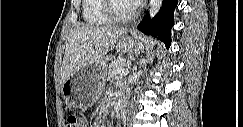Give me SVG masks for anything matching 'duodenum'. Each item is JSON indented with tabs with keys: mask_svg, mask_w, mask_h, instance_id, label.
Wrapping results in <instances>:
<instances>
[{
	"mask_svg": "<svg viewBox=\"0 0 243 127\" xmlns=\"http://www.w3.org/2000/svg\"><path fill=\"white\" fill-rule=\"evenodd\" d=\"M124 105H125V99L123 98L118 100L117 103L115 104L114 111L117 117H120L121 114L123 113Z\"/></svg>",
	"mask_w": 243,
	"mask_h": 127,
	"instance_id": "duodenum-1",
	"label": "duodenum"
}]
</instances>
